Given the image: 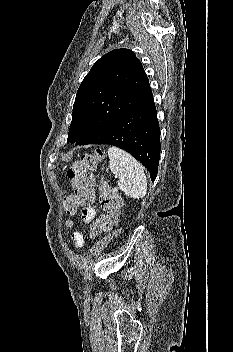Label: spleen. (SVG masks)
I'll use <instances>...</instances> for the list:
<instances>
[{
	"label": "spleen",
	"instance_id": "obj_1",
	"mask_svg": "<svg viewBox=\"0 0 233 352\" xmlns=\"http://www.w3.org/2000/svg\"><path fill=\"white\" fill-rule=\"evenodd\" d=\"M108 156L109 168L119 178V189L133 199L144 197L147 193V178L143 166L118 147H110Z\"/></svg>",
	"mask_w": 233,
	"mask_h": 352
}]
</instances>
